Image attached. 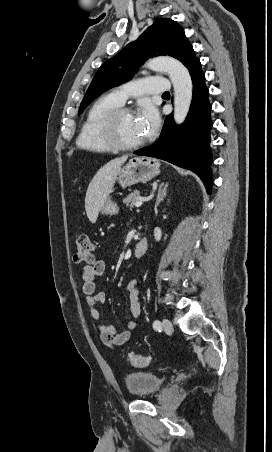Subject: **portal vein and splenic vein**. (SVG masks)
Here are the masks:
<instances>
[{
	"mask_svg": "<svg viewBox=\"0 0 272 452\" xmlns=\"http://www.w3.org/2000/svg\"><path fill=\"white\" fill-rule=\"evenodd\" d=\"M144 201H145V199H142V200L136 201V203H135V207H141V206H142V204L144 203Z\"/></svg>",
	"mask_w": 272,
	"mask_h": 452,
	"instance_id": "obj_1",
	"label": "portal vein and splenic vein"
}]
</instances>
